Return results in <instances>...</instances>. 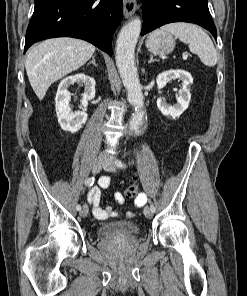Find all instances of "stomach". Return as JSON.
I'll use <instances>...</instances> for the list:
<instances>
[{
    "label": "stomach",
    "mask_w": 247,
    "mask_h": 296,
    "mask_svg": "<svg viewBox=\"0 0 247 296\" xmlns=\"http://www.w3.org/2000/svg\"><path fill=\"white\" fill-rule=\"evenodd\" d=\"M146 48L155 55H168L175 48V39L166 31L156 30L147 37Z\"/></svg>",
    "instance_id": "obj_1"
}]
</instances>
